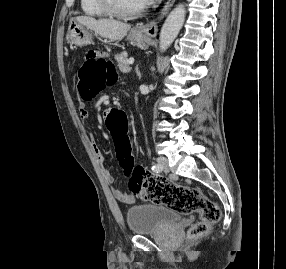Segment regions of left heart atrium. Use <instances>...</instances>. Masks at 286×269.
I'll use <instances>...</instances> for the list:
<instances>
[{
    "label": "left heart atrium",
    "mask_w": 286,
    "mask_h": 269,
    "mask_svg": "<svg viewBox=\"0 0 286 269\" xmlns=\"http://www.w3.org/2000/svg\"><path fill=\"white\" fill-rule=\"evenodd\" d=\"M144 5H150L152 3H154L156 0H142Z\"/></svg>",
    "instance_id": "39dd6f15"
}]
</instances>
